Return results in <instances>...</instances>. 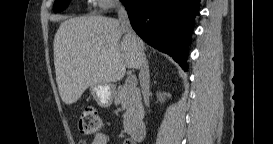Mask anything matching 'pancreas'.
Here are the masks:
<instances>
[{"label": "pancreas", "instance_id": "cf45deb5", "mask_svg": "<svg viewBox=\"0 0 273 144\" xmlns=\"http://www.w3.org/2000/svg\"><path fill=\"white\" fill-rule=\"evenodd\" d=\"M115 103H120L125 110L123 115V124L125 129H130L144 115L141 102L140 90L136 87H130L127 84L119 86L114 93Z\"/></svg>", "mask_w": 273, "mask_h": 144}]
</instances>
